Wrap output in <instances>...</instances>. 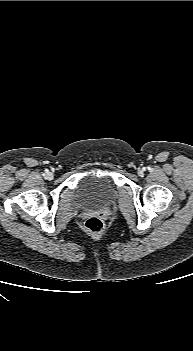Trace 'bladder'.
<instances>
[{"instance_id":"obj_1","label":"bladder","mask_w":193,"mask_h":351,"mask_svg":"<svg viewBox=\"0 0 193 351\" xmlns=\"http://www.w3.org/2000/svg\"><path fill=\"white\" fill-rule=\"evenodd\" d=\"M115 187L107 176H87L79 184L76 201L83 206H100L115 197Z\"/></svg>"}]
</instances>
